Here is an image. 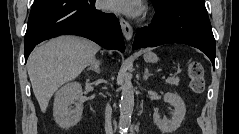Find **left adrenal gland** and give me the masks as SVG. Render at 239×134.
<instances>
[{
    "instance_id": "left-adrenal-gland-1",
    "label": "left adrenal gland",
    "mask_w": 239,
    "mask_h": 134,
    "mask_svg": "<svg viewBox=\"0 0 239 134\" xmlns=\"http://www.w3.org/2000/svg\"><path fill=\"white\" fill-rule=\"evenodd\" d=\"M152 75L153 74L149 73L148 68H145L144 75H143L144 80H147Z\"/></svg>"
}]
</instances>
